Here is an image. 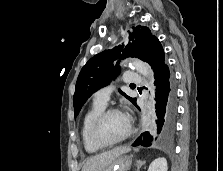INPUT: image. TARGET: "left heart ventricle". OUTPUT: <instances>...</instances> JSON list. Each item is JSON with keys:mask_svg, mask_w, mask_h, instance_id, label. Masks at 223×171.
I'll use <instances>...</instances> for the list:
<instances>
[{"mask_svg": "<svg viewBox=\"0 0 223 171\" xmlns=\"http://www.w3.org/2000/svg\"><path fill=\"white\" fill-rule=\"evenodd\" d=\"M128 129V122L124 115L114 113L108 115L99 127L100 137L107 141L112 142L120 139Z\"/></svg>", "mask_w": 223, "mask_h": 171, "instance_id": "b2bd125f", "label": "left heart ventricle"}]
</instances>
